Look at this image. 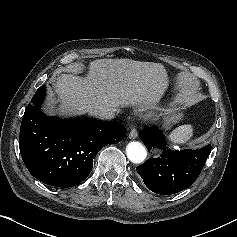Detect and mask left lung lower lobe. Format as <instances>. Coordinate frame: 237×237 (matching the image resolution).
<instances>
[{
	"label": "left lung lower lobe",
	"mask_w": 237,
	"mask_h": 237,
	"mask_svg": "<svg viewBox=\"0 0 237 237\" xmlns=\"http://www.w3.org/2000/svg\"><path fill=\"white\" fill-rule=\"evenodd\" d=\"M139 135L148 150H162L159 157H151L136 168L145 185L160 195H171L193 184L211 151L210 144L196 150L171 151L166 147L162 131L156 126L144 127Z\"/></svg>",
	"instance_id": "obj_1"
}]
</instances>
